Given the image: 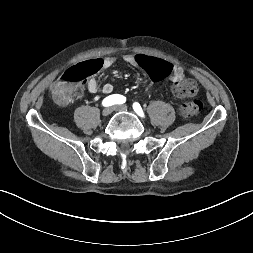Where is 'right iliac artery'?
<instances>
[{"label":"right iliac artery","mask_w":253,"mask_h":253,"mask_svg":"<svg viewBox=\"0 0 253 253\" xmlns=\"http://www.w3.org/2000/svg\"><path fill=\"white\" fill-rule=\"evenodd\" d=\"M125 101H126V98L124 96L119 95V94H113V95L106 97L103 100L102 105L105 107H108V106H112L115 104H123V103H125Z\"/></svg>","instance_id":"1"}]
</instances>
